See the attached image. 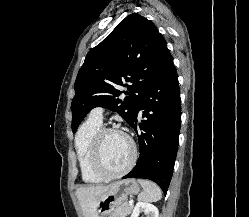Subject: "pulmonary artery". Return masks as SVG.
<instances>
[{"mask_svg":"<svg viewBox=\"0 0 249 217\" xmlns=\"http://www.w3.org/2000/svg\"><path fill=\"white\" fill-rule=\"evenodd\" d=\"M90 117L98 120V121H103L104 118V110L101 107H96L90 112Z\"/></svg>","mask_w":249,"mask_h":217,"instance_id":"pulmonary-artery-1","label":"pulmonary artery"}]
</instances>
